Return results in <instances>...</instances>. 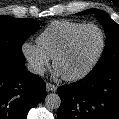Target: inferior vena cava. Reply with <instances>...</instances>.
I'll list each match as a JSON object with an SVG mask.
<instances>
[{"label":"inferior vena cava","instance_id":"obj_1","mask_svg":"<svg viewBox=\"0 0 119 119\" xmlns=\"http://www.w3.org/2000/svg\"><path fill=\"white\" fill-rule=\"evenodd\" d=\"M27 69L34 74H44L45 72V68L41 64L35 62H29L27 64Z\"/></svg>","mask_w":119,"mask_h":119}]
</instances>
